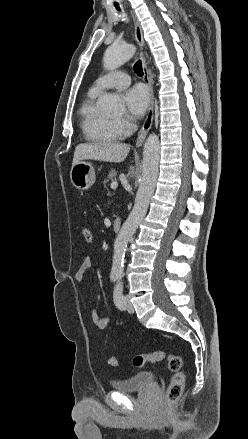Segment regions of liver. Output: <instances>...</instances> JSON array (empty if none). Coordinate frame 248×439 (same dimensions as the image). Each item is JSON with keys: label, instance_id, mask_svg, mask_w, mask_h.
I'll return each instance as SVG.
<instances>
[{"label": "liver", "instance_id": "6515ba94", "mask_svg": "<svg viewBox=\"0 0 248 439\" xmlns=\"http://www.w3.org/2000/svg\"><path fill=\"white\" fill-rule=\"evenodd\" d=\"M130 146L118 142L81 143L76 146L72 166L83 160L119 163L124 161Z\"/></svg>", "mask_w": 248, "mask_h": 439}]
</instances>
